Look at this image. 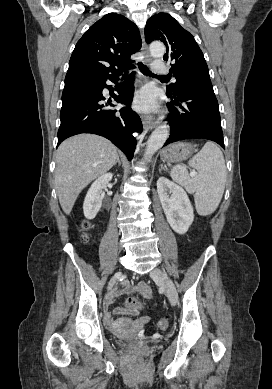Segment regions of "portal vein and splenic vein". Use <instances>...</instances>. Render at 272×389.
I'll return each mask as SVG.
<instances>
[{
  "label": "portal vein and splenic vein",
  "instance_id": "18ae733b",
  "mask_svg": "<svg viewBox=\"0 0 272 389\" xmlns=\"http://www.w3.org/2000/svg\"><path fill=\"white\" fill-rule=\"evenodd\" d=\"M196 174H197V173H196L195 171H192V172L190 173V176H191V177H195Z\"/></svg>",
  "mask_w": 272,
  "mask_h": 389
}]
</instances>
